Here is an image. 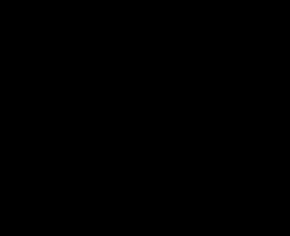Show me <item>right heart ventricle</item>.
Here are the masks:
<instances>
[{
	"instance_id": "right-heart-ventricle-1",
	"label": "right heart ventricle",
	"mask_w": 290,
	"mask_h": 236,
	"mask_svg": "<svg viewBox=\"0 0 290 236\" xmlns=\"http://www.w3.org/2000/svg\"><path fill=\"white\" fill-rule=\"evenodd\" d=\"M177 60L176 57L170 55L151 59L138 71L137 81L139 85L146 91L153 90Z\"/></svg>"
}]
</instances>
